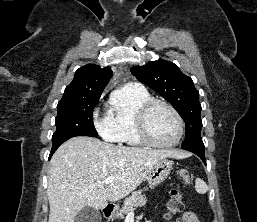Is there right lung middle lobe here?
I'll list each match as a JSON object with an SVG mask.
<instances>
[{"label":"right lung middle lobe","instance_id":"obj_1","mask_svg":"<svg viewBox=\"0 0 257 222\" xmlns=\"http://www.w3.org/2000/svg\"><path fill=\"white\" fill-rule=\"evenodd\" d=\"M100 96L61 100L57 106L56 131L52 147H58L75 136L96 137L92 114Z\"/></svg>","mask_w":257,"mask_h":222}]
</instances>
